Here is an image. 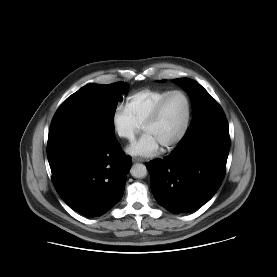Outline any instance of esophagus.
Here are the masks:
<instances>
[{
  "label": "esophagus",
  "instance_id": "1",
  "mask_svg": "<svg viewBox=\"0 0 277 277\" xmlns=\"http://www.w3.org/2000/svg\"><path fill=\"white\" fill-rule=\"evenodd\" d=\"M145 160L139 157H134L133 162H144Z\"/></svg>",
  "mask_w": 277,
  "mask_h": 277
}]
</instances>
